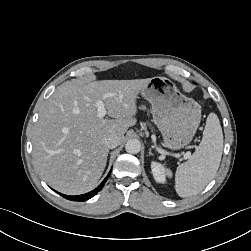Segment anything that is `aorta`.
Segmentation results:
<instances>
[{
    "instance_id": "aorta-1",
    "label": "aorta",
    "mask_w": 251,
    "mask_h": 251,
    "mask_svg": "<svg viewBox=\"0 0 251 251\" xmlns=\"http://www.w3.org/2000/svg\"><path fill=\"white\" fill-rule=\"evenodd\" d=\"M125 149L130 154H137L141 149V143L138 139H130L125 144Z\"/></svg>"
}]
</instances>
